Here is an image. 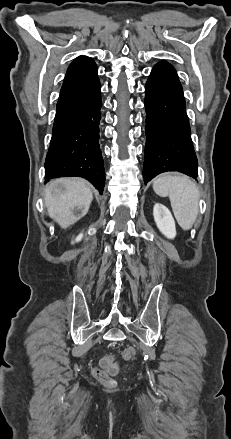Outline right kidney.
Here are the masks:
<instances>
[{"label":"right kidney","instance_id":"obj_1","mask_svg":"<svg viewBox=\"0 0 231 439\" xmlns=\"http://www.w3.org/2000/svg\"><path fill=\"white\" fill-rule=\"evenodd\" d=\"M82 237H83V234H79V235L76 237L75 241H76V242H79V241L82 239ZM72 243H74V242H72Z\"/></svg>","mask_w":231,"mask_h":439}]
</instances>
